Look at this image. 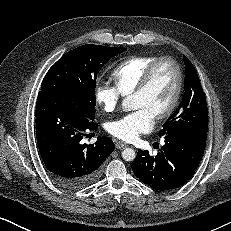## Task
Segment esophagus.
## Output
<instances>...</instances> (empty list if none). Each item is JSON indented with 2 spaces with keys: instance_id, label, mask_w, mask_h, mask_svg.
<instances>
[{
  "instance_id": "obj_1",
  "label": "esophagus",
  "mask_w": 231,
  "mask_h": 231,
  "mask_svg": "<svg viewBox=\"0 0 231 231\" xmlns=\"http://www.w3.org/2000/svg\"><path fill=\"white\" fill-rule=\"evenodd\" d=\"M127 146L128 145L126 143L121 142V141H119V142L116 143V148L120 149V150L126 148Z\"/></svg>"
}]
</instances>
